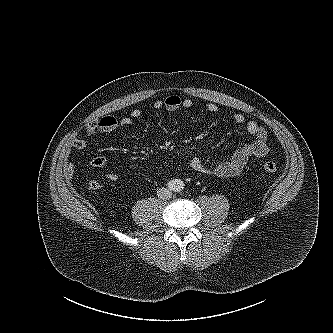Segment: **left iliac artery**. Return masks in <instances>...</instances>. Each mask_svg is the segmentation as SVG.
Here are the masks:
<instances>
[{"instance_id": "1", "label": "left iliac artery", "mask_w": 333, "mask_h": 333, "mask_svg": "<svg viewBox=\"0 0 333 333\" xmlns=\"http://www.w3.org/2000/svg\"><path fill=\"white\" fill-rule=\"evenodd\" d=\"M182 186H183L182 182L179 181L178 186H177V190H181Z\"/></svg>"}]
</instances>
